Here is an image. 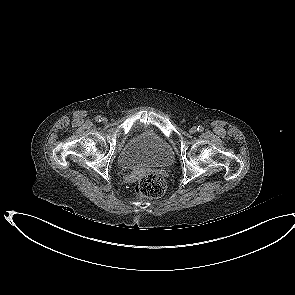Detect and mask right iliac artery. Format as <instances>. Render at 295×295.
I'll use <instances>...</instances> for the list:
<instances>
[{"label": "right iliac artery", "mask_w": 295, "mask_h": 295, "mask_svg": "<svg viewBox=\"0 0 295 295\" xmlns=\"http://www.w3.org/2000/svg\"><path fill=\"white\" fill-rule=\"evenodd\" d=\"M95 120H96L97 122H101V121H102V117H101V116H97V117L95 118Z\"/></svg>", "instance_id": "1"}]
</instances>
